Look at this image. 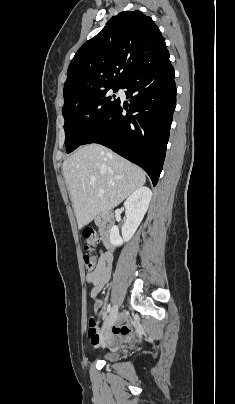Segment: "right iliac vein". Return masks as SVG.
<instances>
[{
    "mask_svg": "<svg viewBox=\"0 0 235 404\" xmlns=\"http://www.w3.org/2000/svg\"><path fill=\"white\" fill-rule=\"evenodd\" d=\"M118 320V306H114L113 307V311L109 320V326H112L113 324H115Z\"/></svg>",
    "mask_w": 235,
    "mask_h": 404,
    "instance_id": "63e3f726",
    "label": "right iliac vein"
}]
</instances>
